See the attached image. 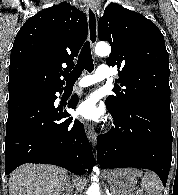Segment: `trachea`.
<instances>
[{
	"mask_svg": "<svg viewBox=\"0 0 178 195\" xmlns=\"http://www.w3.org/2000/svg\"><path fill=\"white\" fill-rule=\"evenodd\" d=\"M84 69L89 73H91L94 69L89 41L84 43L75 68L71 71V73L64 74L66 82H75L80 77Z\"/></svg>",
	"mask_w": 178,
	"mask_h": 195,
	"instance_id": "1",
	"label": "trachea"
}]
</instances>
